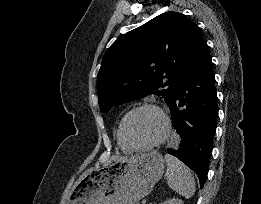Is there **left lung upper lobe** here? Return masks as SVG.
Masks as SVG:
<instances>
[{
  "label": "left lung upper lobe",
  "mask_w": 261,
  "mask_h": 204,
  "mask_svg": "<svg viewBox=\"0 0 261 204\" xmlns=\"http://www.w3.org/2000/svg\"><path fill=\"white\" fill-rule=\"evenodd\" d=\"M199 31L184 14L165 12L119 37L97 76L100 111L149 94L163 96L170 106Z\"/></svg>",
  "instance_id": "1"
}]
</instances>
